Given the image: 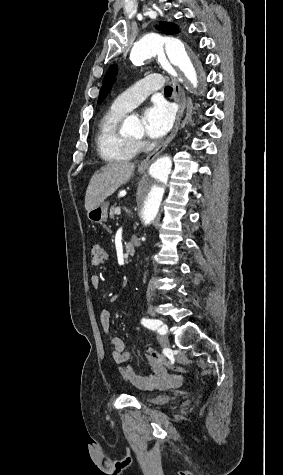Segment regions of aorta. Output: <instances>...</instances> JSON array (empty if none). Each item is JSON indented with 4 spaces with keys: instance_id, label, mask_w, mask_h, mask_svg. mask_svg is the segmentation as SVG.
Wrapping results in <instances>:
<instances>
[{
    "instance_id": "obj_1",
    "label": "aorta",
    "mask_w": 283,
    "mask_h": 475,
    "mask_svg": "<svg viewBox=\"0 0 283 475\" xmlns=\"http://www.w3.org/2000/svg\"><path fill=\"white\" fill-rule=\"evenodd\" d=\"M164 51L170 63L178 67L196 88L199 85L196 67L188 56L184 44L176 38L163 37L156 33L147 34L134 44L130 59L134 64L140 65L145 60L158 56L164 68L177 76L165 59ZM122 129L129 134L136 133L141 129L140 121L136 117H127ZM177 170L176 159L164 155L152 163L140 179L134 198V219L144 232H148L149 228L158 222Z\"/></svg>"
}]
</instances>
